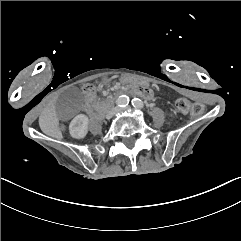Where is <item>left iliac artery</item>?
<instances>
[{"label": "left iliac artery", "instance_id": "left-iliac-artery-1", "mask_svg": "<svg viewBox=\"0 0 241 241\" xmlns=\"http://www.w3.org/2000/svg\"><path fill=\"white\" fill-rule=\"evenodd\" d=\"M131 103H132L133 107L138 108V109H142L144 107L143 102L138 98L132 99Z\"/></svg>", "mask_w": 241, "mask_h": 241}]
</instances>
